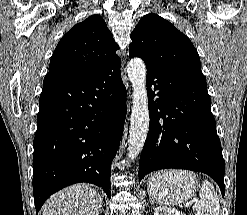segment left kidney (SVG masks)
I'll return each mask as SVG.
<instances>
[{"label":"left kidney","instance_id":"obj_1","mask_svg":"<svg viewBox=\"0 0 247 215\" xmlns=\"http://www.w3.org/2000/svg\"><path fill=\"white\" fill-rule=\"evenodd\" d=\"M154 215H185V214L174 208L159 206L155 209Z\"/></svg>","mask_w":247,"mask_h":215}]
</instances>
